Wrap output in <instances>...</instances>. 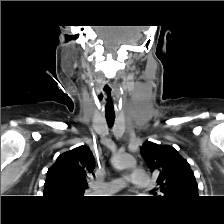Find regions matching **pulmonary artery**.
Masks as SVG:
<instances>
[{"mask_svg":"<svg viewBox=\"0 0 224 224\" xmlns=\"http://www.w3.org/2000/svg\"><path fill=\"white\" fill-rule=\"evenodd\" d=\"M127 181H129L134 188L138 189H146L151 185V179L149 175L144 171L136 169L133 170L129 178H112L109 181L96 186V189L97 191L103 193H113L123 188L126 185Z\"/></svg>","mask_w":224,"mask_h":224,"instance_id":"pulmonary-artery-1","label":"pulmonary artery"}]
</instances>
